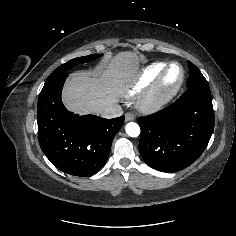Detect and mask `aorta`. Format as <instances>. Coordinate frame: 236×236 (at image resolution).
Listing matches in <instances>:
<instances>
[{
	"instance_id": "aorta-1",
	"label": "aorta",
	"mask_w": 236,
	"mask_h": 236,
	"mask_svg": "<svg viewBox=\"0 0 236 236\" xmlns=\"http://www.w3.org/2000/svg\"><path fill=\"white\" fill-rule=\"evenodd\" d=\"M125 131L130 137H137L140 135V127L135 122H129L125 126Z\"/></svg>"
}]
</instances>
